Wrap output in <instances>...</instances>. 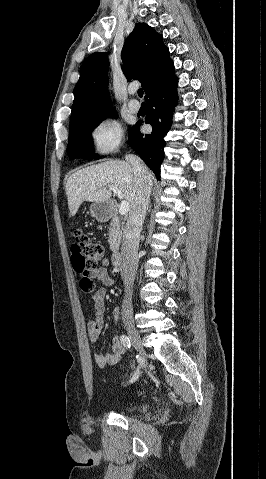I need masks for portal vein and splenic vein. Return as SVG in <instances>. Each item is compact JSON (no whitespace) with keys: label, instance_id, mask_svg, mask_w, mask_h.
<instances>
[{"label":"portal vein and splenic vein","instance_id":"18ae733b","mask_svg":"<svg viewBox=\"0 0 266 479\" xmlns=\"http://www.w3.org/2000/svg\"><path fill=\"white\" fill-rule=\"evenodd\" d=\"M92 188L96 189V187H92ZM108 188L110 190H112L113 193L116 194L120 199H123V194L118 188H116L114 186H108ZM129 209H130V204L127 201L122 200L121 204H120V207H119V213L121 215H125V214L128 213Z\"/></svg>","mask_w":266,"mask_h":479}]
</instances>
